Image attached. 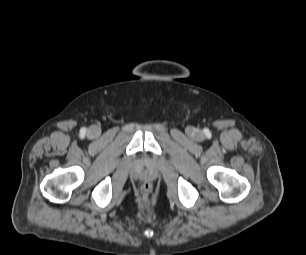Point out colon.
I'll use <instances>...</instances> for the list:
<instances>
[{
  "label": "colon",
  "mask_w": 306,
  "mask_h": 255,
  "mask_svg": "<svg viewBox=\"0 0 306 255\" xmlns=\"http://www.w3.org/2000/svg\"><path fill=\"white\" fill-rule=\"evenodd\" d=\"M151 189H152L151 185L146 182L142 185L141 192L143 195L148 196L151 192Z\"/></svg>",
  "instance_id": "obj_1"
}]
</instances>
